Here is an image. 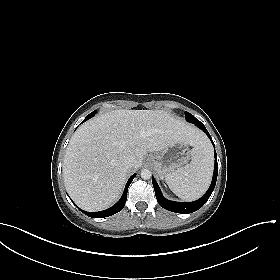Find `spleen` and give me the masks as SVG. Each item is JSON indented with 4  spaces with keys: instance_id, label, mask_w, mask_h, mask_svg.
Returning <instances> with one entry per match:
<instances>
[{
    "instance_id": "obj_1",
    "label": "spleen",
    "mask_w": 280,
    "mask_h": 280,
    "mask_svg": "<svg viewBox=\"0 0 280 280\" xmlns=\"http://www.w3.org/2000/svg\"><path fill=\"white\" fill-rule=\"evenodd\" d=\"M190 163L169 173L165 181L179 198L191 201L199 198L208 189L213 171V151L209 143L192 149Z\"/></svg>"
}]
</instances>
